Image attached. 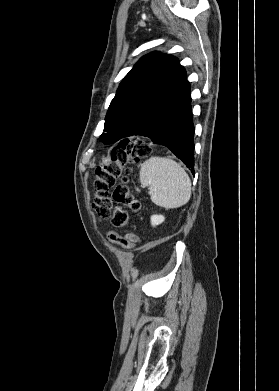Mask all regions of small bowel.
I'll return each instance as SVG.
<instances>
[{
	"instance_id": "obj_1",
	"label": "small bowel",
	"mask_w": 279,
	"mask_h": 391,
	"mask_svg": "<svg viewBox=\"0 0 279 391\" xmlns=\"http://www.w3.org/2000/svg\"><path fill=\"white\" fill-rule=\"evenodd\" d=\"M124 237L130 239L134 243L138 241V237L135 234H132V233H127V234L124 235Z\"/></svg>"
}]
</instances>
